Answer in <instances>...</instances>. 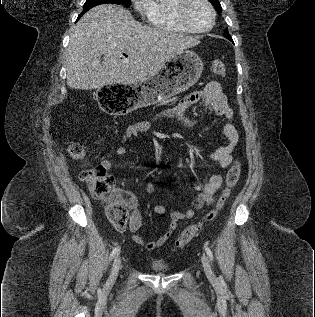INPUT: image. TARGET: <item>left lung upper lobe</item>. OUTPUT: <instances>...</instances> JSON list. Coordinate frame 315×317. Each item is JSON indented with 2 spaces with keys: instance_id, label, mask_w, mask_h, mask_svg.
Masks as SVG:
<instances>
[{
  "instance_id": "obj_1",
  "label": "left lung upper lobe",
  "mask_w": 315,
  "mask_h": 317,
  "mask_svg": "<svg viewBox=\"0 0 315 317\" xmlns=\"http://www.w3.org/2000/svg\"><path fill=\"white\" fill-rule=\"evenodd\" d=\"M212 5L215 7L216 11L218 12V14H221V5H220V2L218 0H209ZM224 36L227 38V39H232L231 36L229 35L228 33V29L225 30L224 32ZM233 42V40H230Z\"/></svg>"
}]
</instances>
